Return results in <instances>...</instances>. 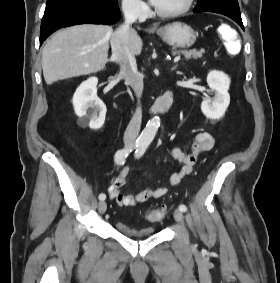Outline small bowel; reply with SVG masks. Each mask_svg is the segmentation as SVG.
<instances>
[{"mask_svg": "<svg viewBox=\"0 0 280 283\" xmlns=\"http://www.w3.org/2000/svg\"><path fill=\"white\" fill-rule=\"evenodd\" d=\"M214 144L215 139L210 133L199 132L193 139L189 153H184L176 147L173 148L171 155L174 159L182 163V169L180 172L171 175V183L175 185L179 183L184 176L190 174L201 154L211 150ZM129 172V167H124L108 188L110 198L119 206L132 207L150 199H158L167 193V189L164 187L148 188L138 191L135 194L122 193L121 188L125 185Z\"/></svg>", "mask_w": 280, "mask_h": 283, "instance_id": "1", "label": "small bowel"}]
</instances>
